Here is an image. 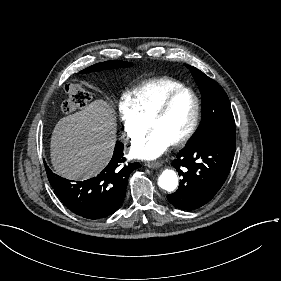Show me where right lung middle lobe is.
Segmentation results:
<instances>
[{
    "label": "right lung middle lobe",
    "mask_w": 281,
    "mask_h": 281,
    "mask_svg": "<svg viewBox=\"0 0 281 281\" xmlns=\"http://www.w3.org/2000/svg\"><path fill=\"white\" fill-rule=\"evenodd\" d=\"M130 66H132L131 62L113 60V61H106V62L94 64V65L82 70L81 73H89V72L101 71L104 69L130 67Z\"/></svg>",
    "instance_id": "right-lung-middle-lobe-1"
}]
</instances>
